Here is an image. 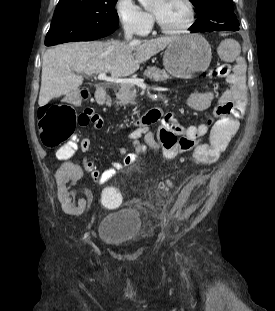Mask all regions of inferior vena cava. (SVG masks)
Returning a JSON list of instances; mask_svg holds the SVG:
<instances>
[{
  "label": "inferior vena cava",
  "instance_id": "1",
  "mask_svg": "<svg viewBox=\"0 0 275 311\" xmlns=\"http://www.w3.org/2000/svg\"><path fill=\"white\" fill-rule=\"evenodd\" d=\"M125 39L128 41V40H131L132 39V32L130 31H125Z\"/></svg>",
  "mask_w": 275,
  "mask_h": 311
}]
</instances>
